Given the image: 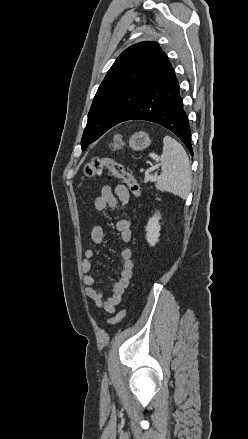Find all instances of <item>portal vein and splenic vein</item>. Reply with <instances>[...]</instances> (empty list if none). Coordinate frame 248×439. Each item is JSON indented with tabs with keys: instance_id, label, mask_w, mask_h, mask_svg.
<instances>
[{
	"instance_id": "portal-vein-and-splenic-vein-1",
	"label": "portal vein and splenic vein",
	"mask_w": 248,
	"mask_h": 439,
	"mask_svg": "<svg viewBox=\"0 0 248 439\" xmlns=\"http://www.w3.org/2000/svg\"><path fill=\"white\" fill-rule=\"evenodd\" d=\"M157 167H158V166H152L148 171H146V173H145V179H146L147 181H148V180H150V181H154V180H155V177H153L152 175H150L149 172L155 170Z\"/></svg>"
}]
</instances>
